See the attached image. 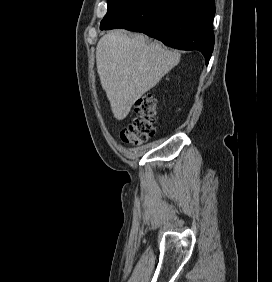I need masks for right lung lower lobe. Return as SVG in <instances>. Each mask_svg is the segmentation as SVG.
<instances>
[{
	"mask_svg": "<svg viewBox=\"0 0 272 282\" xmlns=\"http://www.w3.org/2000/svg\"><path fill=\"white\" fill-rule=\"evenodd\" d=\"M214 14V0H137L101 30L142 32L176 49L198 50L208 64Z\"/></svg>",
	"mask_w": 272,
	"mask_h": 282,
	"instance_id": "98d812e1",
	"label": "right lung lower lobe"
}]
</instances>
